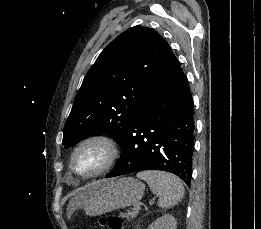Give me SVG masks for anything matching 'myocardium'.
Segmentation results:
<instances>
[{"label":"myocardium","mask_w":261,"mask_h":229,"mask_svg":"<svg viewBox=\"0 0 261 229\" xmlns=\"http://www.w3.org/2000/svg\"><path fill=\"white\" fill-rule=\"evenodd\" d=\"M90 145H98L104 150L105 161L97 170L93 172H83L75 166V158L80 150ZM118 154H119L118 146L111 137L105 134H93L83 138L73 147L70 156V168L76 175L80 177L83 178L96 177L108 171L114 166L118 158Z\"/></svg>","instance_id":"myocardium-1"}]
</instances>
